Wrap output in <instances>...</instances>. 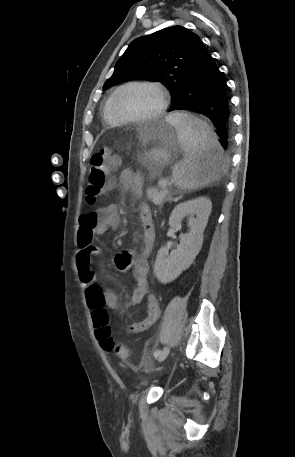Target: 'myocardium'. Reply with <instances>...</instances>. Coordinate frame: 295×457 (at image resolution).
I'll use <instances>...</instances> for the list:
<instances>
[{"label":"myocardium","instance_id":"f54148a6","mask_svg":"<svg viewBox=\"0 0 295 457\" xmlns=\"http://www.w3.org/2000/svg\"><path fill=\"white\" fill-rule=\"evenodd\" d=\"M132 86H150V87L155 88L158 91V94L160 97V105H159L158 109L155 112H153L147 116H144V117H126V116L119 114V112L116 109L117 96L123 89L132 87ZM167 106H168V93H167L166 89L164 88V86L158 82L146 81V80L131 81V82H127V83L119 86L113 92L112 97H111V103H110V108H111V112H112L113 116L116 119H118L120 122H123V123H144V122L153 121V120L159 118L160 116H162V114L165 112Z\"/></svg>","mask_w":295,"mask_h":457}]
</instances>
